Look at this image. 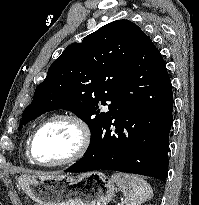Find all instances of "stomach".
<instances>
[{
  "mask_svg": "<svg viewBox=\"0 0 199 205\" xmlns=\"http://www.w3.org/2000/svg\"><path fill=\"white\" fill-rule=\"evenodd\" d=\"M18 182L38 205H107L116 191L114 182L97 171L76 177L21 175Z\"/></svg>",
  "mask_w": 199,
  "mask_h": 205,
  "instance_id": "obj_1",
  "label": "stomach"
}]
</instances>
